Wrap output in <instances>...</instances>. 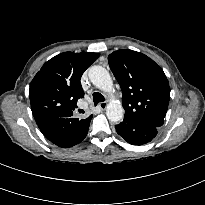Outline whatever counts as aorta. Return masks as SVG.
<instances>
[{"instance_id":"obj_1","label":"aorta","mask_w":205,"mask_h":205,"mask_svg":"<svg viewBox=\"0 0 205 205\" xmlns=\"http://www.w3.org/2000/svg\"><path fill=\"white\" fill-rule=\"evenodd\" d=\"M89 79L98 89L110 93L113 89V81L109 72L102 66H92L88 72ZM106 115L112 122H120L123 119L124 109L119 101L110 100L106 107Z\"/></svg>"}]
</instances>
